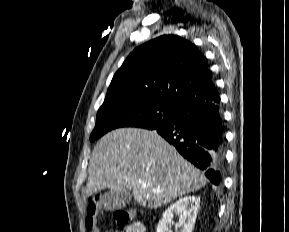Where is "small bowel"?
<instances>
[{
	"instance_id": "small-bowel-1",
	"label": "small bowel",
	"mask_w": 289,
	"mask_h": 232,
	"mask_svg": "<svg viewBox=\"0 0 289 232\" xmlns=\"http://www.w3.org/2000/svg\"><path fill=\"white\" fill-rule=\"evenodd\" d=\"M104 232H146V227L141 222H133L119 230H106Z\"/></svg>"
}]
</instances>
